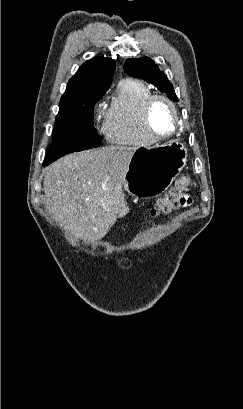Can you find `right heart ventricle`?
<instances>
[{
  "mask_svg": "<svg viewBox=\"0 0 243 409\" xmlns=\"http://www.w3.org/2000/svg\"><path fill=\"white\" fill-rule=\"evenodd\" d=\"M150 95L151 90L139 80L126 78L119 82L107 109L105 133L110 141L135 146L154 143L142 122V107Z\"/></svg>",
  "mask_w": 243,
  "mask_h": 409,
  "instance_id": "1",
  "label": "right heart ventricle"
}]
</instances>
